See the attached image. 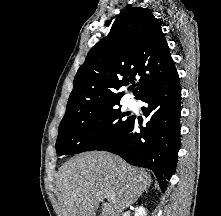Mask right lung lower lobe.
Returning <instances> with one entry per match:
<instances>
[{
	"label": "right lung lower lobe",
	"instance_id": "98d812e1",
	"mask_svg": "<svg viewBox=\"0 0 221 216\" xmlns=\"http://www.w3.org/2000/svg\"><path fill=\"white\" fill-rule=\"evenodd\" d=\"M140 100L146 126H139L135 116L119 136L101 150L115 153L134 166L151 169L164 192L178 159L180 149L181 88L177 70L148 90ZM140 128L137 133L136 129Z\"/></svg>",
	"mask_w": 221,
	"mask_h": 216
}]
</instances>
